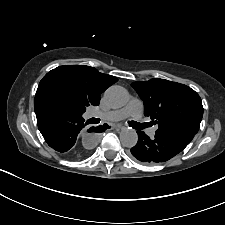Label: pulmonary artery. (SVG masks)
I'll return each mask as SVG.
<instances>
[{"instance_id": "pulmonary-artery-1", "label": "pulmonary artery", "mask_w": 225, "mask_h": 225, "mask_svg": "<svg viewBox=\"0 0 225 225\" xmlns=\"http://www.w3.org/2000/svg\"><path fill=\"white\" fill-rule=\"evenodd\" d=\"M143 102L138 98H133L123 108L113 111H94L91 113L92 117L100 118L104 121H118L127 117H132L135 120H140L143 114ZM156 128H150L147 133L150 137L155 135Z\"/></svg>"}]
</instances>
